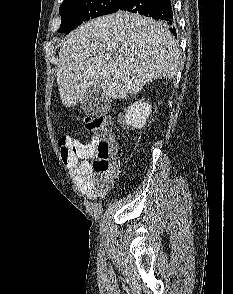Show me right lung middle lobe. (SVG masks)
Here are the masks:
<instances>
[{"label": "right lung middle lobe", "mask_w": 233, "mask_h": 294, "mask_svg": "<svg viewBox=\"0 0 233 294\" xmlns=\"http://www.w3.org/2000/svg\"><path fill=\"white\" fill-rule=\"evenodd\" d=\"M125 0H64L59 8L61 25L58 32L68 34L84 21L115 13Z\"/></svg>", "instance_id": "dd1d6c3e"}]
</instances>
